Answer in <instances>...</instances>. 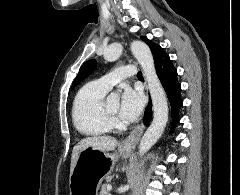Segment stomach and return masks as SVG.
Returning a JSON list of instances; mask_svg holds the SVG:
<instances>
[{"instance_id":"stomach-1","label":"stomach","mask_w":240,"mask_h":195,"mask_svg":"<svg viewBox=\"0 0 240 195\" xmlns=\"http://www.w3.org/2000/svg\"><path fill=\"white\" fill-rule=\"evenodd\" d=\"M135 145H119L118 151L108 153L95 147L80 149L76 165L70 173V195H98L99 187L111 173L119 157H127Z\"/></svg>"}]
</instances>
